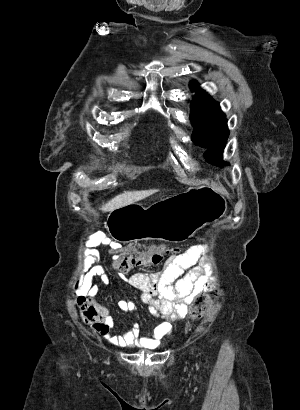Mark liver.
I'll return each mask as SVG.
<instances>
[{
    "instance_id": "1",
    "label": "liver",
    "mask_w": 300,
    "mask_h": 410,
    "mask_svg": "<svg viewBox=\"0 0 300 410\" xmlns=\"http://www.w3.org/2000/svg\"><path fill=\"white\" fill-rule=\"evenodd\" d=\"M154 191L155 190L125 192L108 201L105 205L101 207V210L103 212H110L122 206L133 204L139 200H142L150 196L154 193Z\"/></svg>"
}]
</instances>
